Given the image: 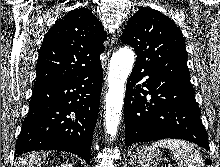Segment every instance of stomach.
Masks as SVG:
<instances>
[{
  "label": "stomach",
  "mask_w": 220,
  "mask_h": 167,
  "mask_svg": "<svg viewBox=\"0 0 220 167\" xmlns=\"http://www.w3.org/2000/svg\"><path fill=\"white\" fill-rule=\"evenodd\" d=\"M160 158L159 150L147 146L137 147L131 155V160L137 163L139 167H156Z\"/></svg>",
  "instance_id": "obj_1"
}]
</instances>
